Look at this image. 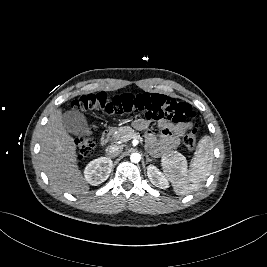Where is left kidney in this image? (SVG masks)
I'll use <instances>...</instances> for the list:
<instances>
[{"label": "left kidney", "instance_id": "left-kidney-1", "mask_svg": "<svg viewBox=\"0 0 267 267\" xmlns=\"http://www.w3.org/2000/svg\"><path fill=\"white\" fill-rule=\"evenodd\" d=\"M166 160V158H164ZM147 175L150 182L161 189H166L169 187L168 178L163 174L156 166L149 165L147 167Z\"/></svg>", "mask_w": 267, "mask_h": 267}]
</instances>
